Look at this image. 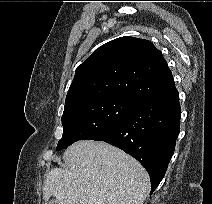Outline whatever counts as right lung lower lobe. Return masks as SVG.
I'll use <instances>...</instances> for the list:
<instances>
[{"instance_id":"obj_1","label":"right lung lower lobe","mask_w":212,"mask_h":204,"mask_svg":"<svg viewBox=\"0 0 212 204\" xmlns=\"http://www.w3.org/2000/svg\"><path fill=\"white\" fill-rule=\"evenodd\" d=\"M180 116L174 86L142 100L123 121L91 140L104 141L136 158L149 173L153 193L174 153Z\"/></svg>"}]
</instances>
